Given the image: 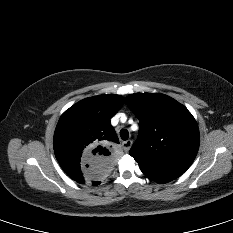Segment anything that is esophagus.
Segmentation results:
<instances>
[{"mask_svg": "<svg viewBox=\"0 0 233 233\" xmlns=\"http://www.w3.org/2000/svg\"><path fill=\"white\" fill-rule=\"evenodd\" d=\"M131 146H132V141L131 140H127V141H124L122 143V147H123L125 152L129 151Z\"/></svg>", "mask_w": 233, "mask_h": 233, "instance_id": "obj_1", "label": "esophagus"}]
</instances>
